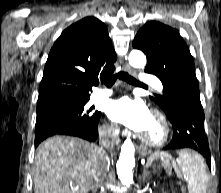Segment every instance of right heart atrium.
<instances>
[{
	"instance_id": "right-heart-atrium-1",
	"label": "right heart atrium",
	"mask_w": 221,
	"mask_h": 193,
	"mask_svg": "<svg viewBox=\"0 0 221 193\" xmlns=\"http://www.w3.org/2000/svg\"><path fill=\"white\" fill-rule=\"evenodd\" d=\"M100 134L104 138L114 140L118 137L119 131L114 124L105 122L100 128Z\"/></svg>"
}]
</instances>
